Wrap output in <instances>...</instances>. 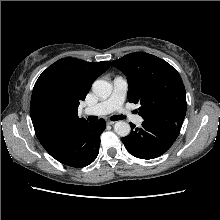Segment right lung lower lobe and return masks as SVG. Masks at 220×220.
Masks as SVG:
<instances>
[{
    "mask_svg": "<svg viewBox=\"0 0 220 220\" xmlns=\"http://www.w3.org/2000/svg\"><path fill=\"white\" fill-rule=\"evenodd\" d=\"M106 127L103 119L77 127L53 152L49 153L62 164L71 167H85L92 163L98 153L100 134Z\"/></svg>",
    "mask_w": 220,
    "mask_h": 220,
    "instance_id": "right-lung-lower-lobe-1",
    "label": "right lung lower lobe"
}]
</instances>
